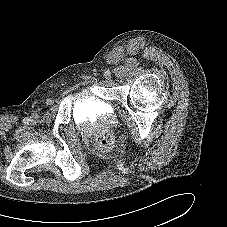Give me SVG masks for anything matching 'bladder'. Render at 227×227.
Wrapping results in <instances>:
<instances>
[{
    "label": "bladder",
    "instance_id": "bladder-1",
    "mask_svg": "<svg viewBox=\"0 0 227 227\" xmlns=\"http://www.w3.org/2000/svg\"><path fill=\"white\" fill-rule=\"evenodd\" d=\"M75 112L79 121H85L109 116L112 113V106L107 101L84 95L78 99Z\"/></svg>",
    "mask_w": 227,
    "mask_h": 227
}]
</instances>
